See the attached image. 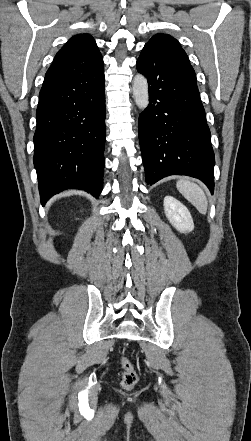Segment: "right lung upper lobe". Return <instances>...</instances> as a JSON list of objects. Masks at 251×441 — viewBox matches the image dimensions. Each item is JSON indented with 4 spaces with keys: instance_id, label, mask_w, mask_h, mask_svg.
<instances>
[{
    "instance_id": "right-lung-upper-lobe-1",
    "label": "right lung upper lobe",
    "mask_w": 251,
    "mask_h": 441,
    "mask_svg": "<svg viewBox=\"0 0 251 441\" xmlns=\"http://www.w3.org/2000/svg\"><path fill=\"white\" fill-rule=\"evenodd\" d=\"M103 66V58L89 34L73 36L56 54L46 76H72Z\"/></svg>"
}]
</instances>
